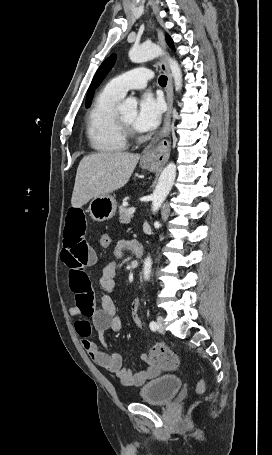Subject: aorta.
I'll use <instances>...</instances> for the list:
<instances>
[{
    "label": "aorta",
    "mask_w": 272,
    "mask_h": 455,
    "mask_svg": "<svg viewBox=\"0 0 272 455\" xmlns=\"http://www.w3.org/2000/svg\"><path fill=\"white\" fill-rule=\"evenodd\" d=\"M162 49L154 43H144L139 46H134L129 51V58L134 63H141L148 60H152L160 55H162ZM169 68L171 70L172 77L174 79V85L176 91H180L182 88V71L178 62L172 58H168ZM137 108V100L134 97L127 98L122 105L120 110L122 113H128L134 111ZM176 177V165L171 162L163 169L158 184L152 195V211L153 213L157 212L166 197L168 196ZM152 267V260L150 257H147L144 261V279L148 280L150 278Z\"/></svg>",
    "instance_id": "762f6f07"
}]
</instances>
